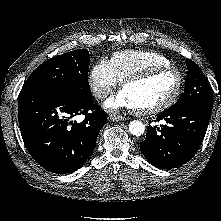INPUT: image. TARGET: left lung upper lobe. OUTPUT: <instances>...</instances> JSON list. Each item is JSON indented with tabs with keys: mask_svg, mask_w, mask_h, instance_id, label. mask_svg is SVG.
Masks as SVG:
<instances>
[{
	"mask_svg": "<svg viewBox=\"0 0 221 221\" xmlns=\"http://www.w3.org/2000/svg\"><path fill=\"white\" fill-rule=\"evenodd\" d=\"M188 72L186 76L184 93L179 100L168 110L176 111L191 104L213 105V91L209 81L196 63L186 59Z\"/></svg>",
	"mask_w": 221,
	"mask_h": 221,
	"instance_id": "5c2ea615",
	"label": "left lung upper lobe"
}]
</instances>
